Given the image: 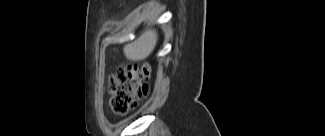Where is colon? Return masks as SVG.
Segmentation results:
<instances>
[{"instance_id": "1", "label": "colon", "mask_w": 325, "mask_h": 136, "mask_svg": "<svg viewBox=\"0 0 325 136\" xmlns=\"http://www.w3.org/2000/svg\"><path fill=\"white\" fill-rule=\"evenodd\" d=\"M149 75L150 66L147 64L118 67L108 83L111 110L119 115L127 114L137 100L148 94Z\"/></svg>"}]
</instances>
